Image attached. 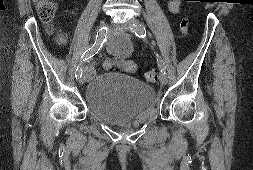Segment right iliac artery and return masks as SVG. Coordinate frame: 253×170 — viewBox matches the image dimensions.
I'll list each match as a JSON object with an SVG mask.
<instances>
[{
    "label": "right iliac artery",
    "instance_id": "obj_1",
    "mask_svg": "<svg viewBox=\"0 0 253 170\" xmlns=\"http://www.w3.org/2000/svg\"><path fill=\"white\" fill-rule=\"evenodd\" d=\"M103 42L104 41H102V36H100V34L98 36V32H97V36H96V40H95L94 44L90 48H88L81 56V61L78 64V66L76 68V72H75L76 79H80L82 77L83 63L98 53V51L102 48Z\"/></svg>",
    "mask_w": 253,
    "mask_h": 170
}]
</instances>
